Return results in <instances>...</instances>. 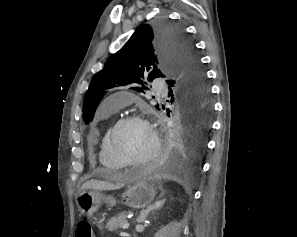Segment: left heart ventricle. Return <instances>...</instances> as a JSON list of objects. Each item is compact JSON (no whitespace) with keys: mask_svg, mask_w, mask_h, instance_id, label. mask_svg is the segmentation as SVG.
I'll list each match as a JSON object with an SVG mask.
<instances>
[{"mask_svg":"<svg viewBox=\"0 0 297 237\" xmlns=\"http://www.w3.org/2000/svg\"><path fill=\"white\" fill-rule=\"evenodd\" d=\"M114 143L126 159L134 161L146 158L153 148L152 135L141 123H127L121 126L114 136Z\"/></svg>","mask_w":297,"mask_h":237,"instance_id":"1","label":"left heart ventricle"}]
</instances>
